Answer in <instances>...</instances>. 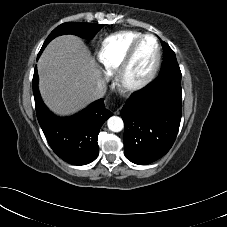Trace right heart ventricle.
I'll return each instance as SVG.
<instances>
[{"instance_id":"obj_1","label":"right heart ventricle","mask_w":227,"mask_h":227,"mask_svg":"<svg viewBox=\"0 0 227 227\" xmlns=\"http://www.w3.org/2000/svg\"><path fill=\"white\" fill-rule=\"evenodd\" d=\"M141 35L137 31H120L106 37L97 52V58L108 73L118 70L130 46Z\"/></svg>"}]
</instances>
